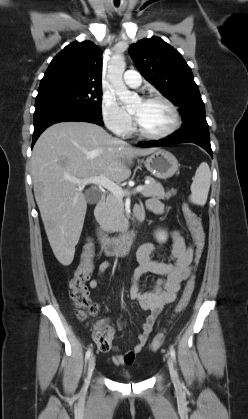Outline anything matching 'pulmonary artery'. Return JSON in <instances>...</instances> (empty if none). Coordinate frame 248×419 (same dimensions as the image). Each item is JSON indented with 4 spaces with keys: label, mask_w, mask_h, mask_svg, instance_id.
Wrapping results in <instances>:
<instances>
[{
    "label": "pulmonary artery",
    "mask_w": 248,
    "mask_h": 419,
    "mask_svg": "<svg viewBox=\"0 0 248 419\" xmlns=\"http://www.w3.org/2000/svg\"><path fill=\"white\" fill-rule=\"evenodd\" d=\"M124 83L132 88H137L141 84V76L138 71L128 70L123 76Z\"/></svg>",
    "instance_id": "pulmonary-artery-1"
}]
</instances>
